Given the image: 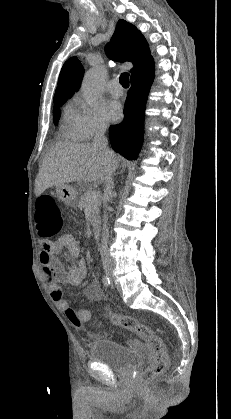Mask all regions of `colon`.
I'll list each match as a JSON object with an SVG mask.
<instances>
[{
    "label": "colon",
    "instance_id": "obj_1",
    "mask_svg": "<svg viewBox=\"0 0 231 419\" xmlns=\"http://www.w3.org/2000/svg\"><path fill=\"white\" fill-rule=\"evenodd\" d=\"M62 223V213L56 199L51 195H41L36 205V226L39 235L45 239L54 237L59 233ZM66 315L75 327L83 328L82 317L75 309L68 308ZM105 316L112 324L137 334L149 346L151 362L138 379L140 388L148 387L168 366L169 358L162 339L149 326L134 317L117 313H106Z\"/></svg>",
    "mask_w": 231,
    "mask_h": 419
}]
</instances>
